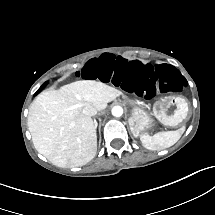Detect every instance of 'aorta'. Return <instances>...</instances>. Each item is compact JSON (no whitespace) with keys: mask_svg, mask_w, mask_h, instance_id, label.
I'll return each instance as SVG.
<instances>
[{"mask_svg":"<svg viewBox=\"0 0 215 215\" xmlns=\"http://www.w3.org/2000/svg\"><path fill=\"white\" fill-rule=\"evenodd\" d=\"M111 113L114 116H121L123 114V108L121 106H114L111 109Z\"/></svg>","mask_w":215,"mask_h":215,"instance_id":"1","label":"aorta"}]
</instances>
